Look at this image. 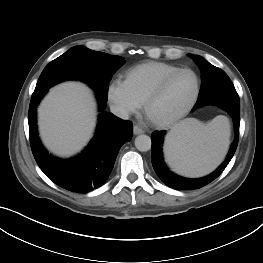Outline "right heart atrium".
<instances>
[{"mask_svg": "<svg viewBox=\"0 0 263 263\" xmlns=\"http://www.w3.org/2000/svg\"><path fill=\"white\" fill-rule=\"evenodd\" d=\"M106 95L113 111L124 118L136 113L141 106L119 79L108 84Z\"/></svg>", "mask_w": 263, "mask_h": 263, "instance_id": "d8ad5b80", "label": "right heart atrium"}]
</instances>
